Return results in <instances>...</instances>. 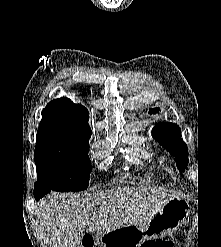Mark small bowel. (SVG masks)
Listing matches in <instances>:
<instances>
[{
	"label": "small bowel",
	"instance_id": "small-bowel-1",
	"mask_svg": "<svg viewBox=\"0 0 221 247\" xmlns=\"http://www.w3.org/2000/svg\"><path fill=\"white\" fill-rule=\"evenodd\" d=\"M153 243L163 242L164 240H150Z\"/></svg>",
	"mask_w": 221,
	"mask_h": 247
}]
</instances>
